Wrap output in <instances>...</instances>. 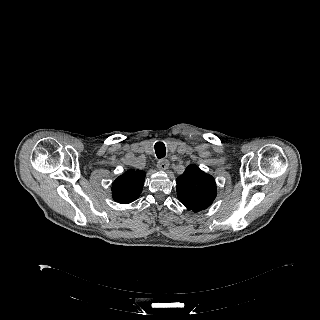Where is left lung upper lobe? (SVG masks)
Wrapping results in <instances>:
<instances>
[{
    "instance_id": "5c2ea615",
    "label": "left lung upper lobe",
    "mask_w": 320,
    "mask_h": 320,
    "mask_svg": "<svg viewBox=\"0 0 320 320\" xmlns=\"http://www.w3.org/2000/svg\"><path fill=\"white\" fill-rule=\"evenodd\" d=\"M176 182L179 201L194 212L208 208L216 197L214 178L195 164L187 166Z\"/></svg>"
}]
</instances>
